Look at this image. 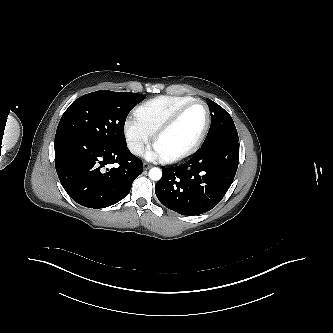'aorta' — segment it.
<instances>
[{"label":"aorta","mask_w":333,"mask_h":333,"mask_svg":"<svg viewBox=\"0 0 333 333\" xmlns=\"http://www.w3.org/2000/svg\"><path fill=\"white\" fill-rule=\"evenodd\" d=\"M162 177V171L160 168L154 167L149 170V178L153 181H158Z\"/></svg>","instance_id":"762f6f07"}]
</instances>
